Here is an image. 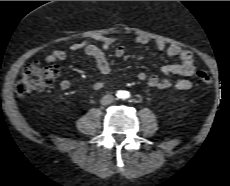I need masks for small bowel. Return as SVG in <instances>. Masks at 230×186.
Here are the masks:
<instances>
[{
    "label": "small bowel",
    "mask_w": 230,
    "mask_h": 186,
    "mask_svg": "<svg viewBox=\"0 0 230 186\" xmlns=\"http://www.w3.org/2000/svg\"><path fill=\"white\" fill-rule=\"evenodd\" d=\"M114 42V39L109 37H92L90 40L80 43H75L70 46L72 51H81L86 55L93 58L98 70L102 74H108L111 70L110 63L106 57L104 50L109 49ZM148 40L144 37L137 38V43L140 45L147 44ZM156 47L161 52H166L169 57H177L180 62L178 64H167L161 68V73L164 76L179 75L183 77H190L194 74L197 67L195 65V55L191 50H184L177 44L167 46L163 41H158ZM115 56L121 58L125 55V49L118 46L115 49ZM67 58V53L63 50H54L50 52L45 61L54 63L64 61ZM137 78L140 81H146L147 85L151 88L168 89L174 88L176 90H188L191 88L192 83L189 79L183 78L176 82H172L166 77H159L157 75H147L145 72H139ZM107 86L105 81H96L93 84V89L96 91L102 90ZM60 87L63 90L71 88L69 80H62Z\"/></svg>",
    "instance_id": "c3829d8e"
}]
</instances>
